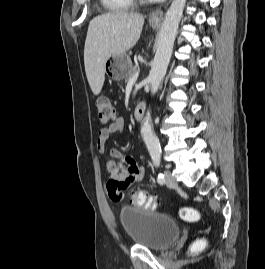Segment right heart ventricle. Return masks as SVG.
Masks as SVG:
<instances>
[{"label":"right heart ventricle","instance_id":"obj_1","mask_svg":"<svg viewBox=\"0 0 265 269\" xmlns=\"http://www.w3.org/2000/svg\"><path fill=\"white\" fill-rule=\"evenodd\" d=\"M101 2L108 11L121 12L131 9L134 0H101Z\"/></svg>","mask_w":265,"mask_h":269}]
</instances>
